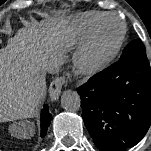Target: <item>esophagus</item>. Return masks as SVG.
Returning <instances> with one entry per match:
<instances>
[{"instance_id": "esophagus-1", "label": "esophagus", "mask_w": 151, "mask_h": 151, "mask_svg": "<svg viewBox=\"0 0 151 151\" xmlns=\"http://www.w3.org/2000/svg\"><path fill=\"white\" fill-rule=\"evenodd\" d=\"M66 82V77H58L51 82L49 86V95L52 100H57L59 98L61 89Z\"/></svg>"}]
</instances>
